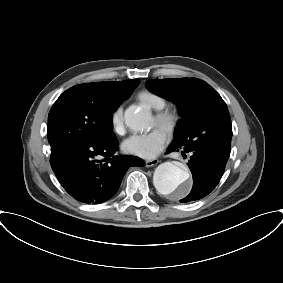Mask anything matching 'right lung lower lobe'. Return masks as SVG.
<instances>
[{
  "label": "right lung lower lobe",
  "instance_id": "obj_1",
  "mask_svg": "<svg viewBox=\"0 0 283 283\" xmlns=\"http://www.w3.org/2000/svg\"><path fill=\"white\" fill-rule=\"evenodd\" d=\"M118 140L98 144L80 141L52 147L50 163L60 184L76 200L99 204L118 191L131 166H144L138 157L119 155Z\"/></svg>",
  "mask_w": 283,
  "mask_h": 283
}]
</instances>
